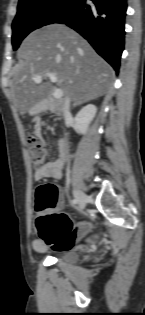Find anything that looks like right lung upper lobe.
I'll return each mask as SVG.
<instances>
[{
	"mask_svg": "<svg viewBox=\"0 0 145 315\" xmlns=\"http://www.w3.org/2000/svg\"><path fill=\"white\" fill-rule=\"evenodd\" d=\"M22 1H27V0H19V2H22Z\"/></svg>",
	"mask_w": 145,
	"mask_h": 315,
	"instance_id": "1",
	"label": "right lung upper lobe"
}]
</instances>
